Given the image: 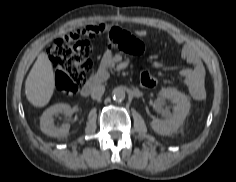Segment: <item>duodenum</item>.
Wrapping results in <instances>:
<instances>
[{"mask_svg":"<svg viewBox=\"0 0 236 182\" xmlns=\"http://www.w3.org/2000/svg\"><path fill=\"white\" fill-rule=\"evenodd\" d=\"M106 78V74L104 71H101L98 75L92 76L82 87L81 89V95L82 96H88L92 90L99 85L101 82H103Z\"/></svg>","mask_w":236,"mask_h":182,"instance_id":"obj_1","label":"duodenum"}]
</instances>
